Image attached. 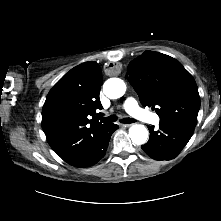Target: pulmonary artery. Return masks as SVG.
Wrapping results in <instances>:
<instances>
[{"mask_svg": "<svg viewBox=\"0 0 221 221\" xmlns=\"http://www.w3.org/2000/svg\"><path fill=\"white\" fill-rule=\"evenodd\" d=\"M125 111L136 119L149 124H158L160 118L151 112H148L139 107L136 100L132 97H128L123 104Z\"/></svg>", "mask_w": 221, "mask_h": 221, "instance_id": "e3ab8cb5", "label": "pulmonary artery"}]
</instances>
